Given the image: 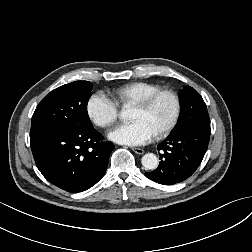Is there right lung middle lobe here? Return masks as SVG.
Returning <instances> with one entry per match:
<instances>
[{"label":"right lung middle lobe","mask_w":252,"mask_h":252,"mask_svg":"<svg viewBox=\"0 0 252 252\" xmlns=\"http://www.w3.org/2000/svg\"><path fill=\"white\" fill-rule=\"evenodd\" d=\"M92 84L75 81L51 91L36 107L31 131L52 128H92L87 103L92 94Z\"/></svg>","instance_id":"right-lung-middle-lobe-1"}]
</instances>
